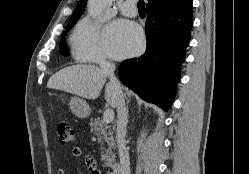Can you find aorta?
<instances>
[{
    "instance_id": "1",
    "label": "aorta",
    "mask_w": 249,
    "mask_h": 174,
    "mask_svg": "<svg viewBox=\"0 0 249 174\" xmlns=\"http://www.w3.org/2000/svg\"><path fill=\"white\" fill-rule=\"evenodd\" d=\"M108 0H88V15L91 18L98 17L106 8Z\"/></svg>"
}]
</instances>
